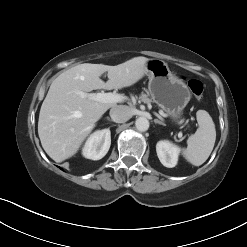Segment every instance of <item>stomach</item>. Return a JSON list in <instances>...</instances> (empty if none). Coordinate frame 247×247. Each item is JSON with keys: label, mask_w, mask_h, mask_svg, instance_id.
Wrapping results in <instances>:
<instances>
[{"label": "stomach", "mask_w": 247, "mask_h": 247, "mask_svg": "<svg viewBox=\"0 0 247 247\" xmlns=\"http://www.w3.org/2000/svg\"><path fill=\"white\" fill-rule=\"evenodd\" d=\"M146 75L152 100L178 124L191 98L187 85L170 71L167 63L159 59L148 60Z\"/></svg>", "instance_id": "obj_1"}]
</instances>
